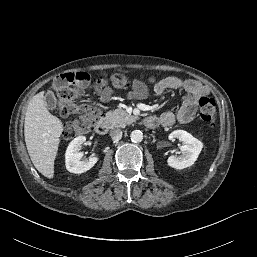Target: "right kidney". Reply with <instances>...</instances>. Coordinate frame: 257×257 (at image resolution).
Returning <instances> with one entry per match:
<instances>
[{
	"instance_id": "1",
	"label": "right kidney",
	"mask_w": 257,
	"mask_h": 257,
	"mask_svg": "<svg viewBox=\"0 0 257 257\" xmlns=\"http://www.w3.org/2000/svg\"><path fill=\"white\" fill-rule=\"evenodd\" d=\"M86 141L85 136H78L70 142L65 153L66 169L75 174H80L90 170L98 161V156H92L87 160H82L83 153L79 152L82 144Z\"/></svg>"
}]
</instances>
